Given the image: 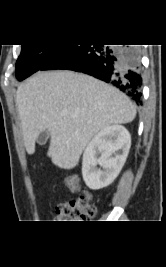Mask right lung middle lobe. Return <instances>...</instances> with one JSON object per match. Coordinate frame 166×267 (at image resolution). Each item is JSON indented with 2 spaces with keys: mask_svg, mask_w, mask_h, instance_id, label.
Instances as JSON below:
<instances>
[{
  "mask_svg": "<svg viewBox=\"0 0 166 267\" xmlns=\"http://www.w3.org/2000/svg\"><path fill=\"white\" fill-rule=\"evenodd\" d=\"M60 47L58 44L22 45L16 62V78L22 81L38 71Z\"/></svg>",
  "mask_w": 166,
  "mask_h": 267,
  "instance_id": "right-lung-middle-lobe-1",
  "label": "right lung middle lobe"
}]
</instances>
